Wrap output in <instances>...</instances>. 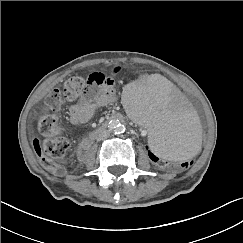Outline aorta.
<instances>
[{
  "instance_id": "obj_1",
  "label": "aorta",
  "mask_w": 243,
  "mask_h": 243,
  "mask_svg": "<svg viewBox=\"0 0 243 243\" xmlns=\"http://www.w3.org/2000/svg\"><path fill=\"white\" fill-rule=\"evenodd\" d=\"M110 130L114 133V134H121L125 131V126L124 124L119 121V120H113L110 123Z\"/></svg>"
}]
</instances>
